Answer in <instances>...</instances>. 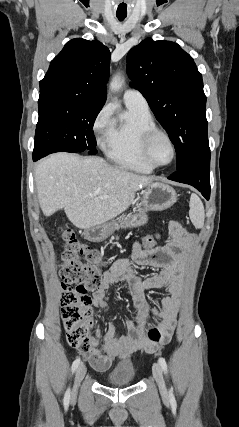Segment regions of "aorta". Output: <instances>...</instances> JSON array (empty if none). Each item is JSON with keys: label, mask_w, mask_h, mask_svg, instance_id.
Masks as SVG:
<instances>
[{"label": "aorta", "mask_w": 239, "mask_h": 427, "mask_svg": "<svg viewBox=\"0 0 239 427\" xmlns=\"http://www.w3.org/2000/svg\"><path fill=\"white\" fill-rule=\"evenodd\" d=\"M122 84L120 75H116L110 83V88L112 91H118L122 87Z\"/></svg>", "instance_id": "aorta-1"}]
</instances>
